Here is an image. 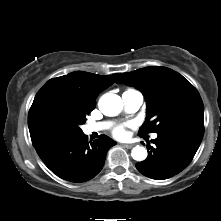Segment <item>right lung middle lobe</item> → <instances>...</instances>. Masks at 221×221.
Here are the masks:
<instances>
[{"instance_id": "right-lung-middle-lobe-1", "label": "right lung middle lobe", "mask_w": 221, "mask_h": 221, "mask_svg": "<svg viewBox=\"0 0 221 221\" xmlns=\"http://www.w3.org/2000/svg\"><path fill=\"white\" fill-rule=\"evenodd\" d=\"M86 115L68 103L47 101L28 116L31 139L81 134L80 126L85 123Z\"/></svg>"}]
</instances>
